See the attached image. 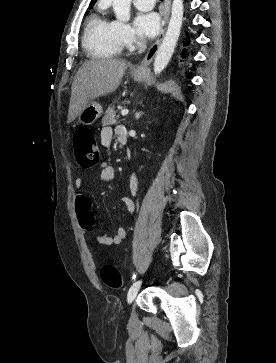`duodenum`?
<instances>
[{
  "label": "duodenum",
  "mask_w": 276,
  "mask_h": 363,
  "mask_svg": "<svg viewBox=\"0 0 276 363\" xmlns=\"http://www.w3.org/2000/svg\"><path fill=\"white\" fill-rule=\"evenodd\" d=\"M118 140H119V142L121 144L125 145L126 142H127V134H126V132L125 133L124 132L123 133H119Z\"/></svg>",
  "instance_id": "410a0bca"
}]
</instances>
